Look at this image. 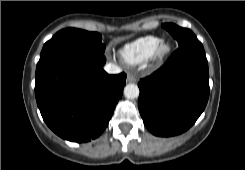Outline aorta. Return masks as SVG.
Listing matches in <instances>:
<instances>
[{
	"instance_id": "762f6f07",
	"label": "aorta",
	"mask_w": 245,
	"mask_h": 170,
	"mask_svg": "<svg viewBox=\"0 0 245 170\" xmlns=\"http://www.w3.org/2000/svg\"><path fill=\"white\" fill-rule=\"evenodd\" d=\"M124 95L128 99H135L139 96V88L136 84H127L124 88Z\"/></svg>"
}]
</instances>
